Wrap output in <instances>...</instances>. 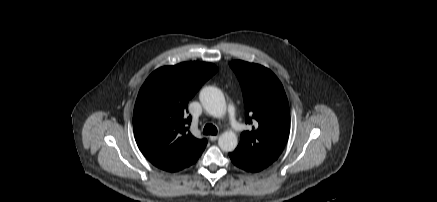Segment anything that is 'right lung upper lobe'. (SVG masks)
I'll list each match as a JSON object with an SVG mask.
<instances>
[{"mask_svg":"<svg viewBox=\"0 0 437 202\" xmlns=\"http://www.w3.org/2000/svg\"><path fill=\"white\" fill-rule=\"evenodd\" d=\"M217 70L211 63L183 62L158 68L142 85L133 112L134 136L156 167L180 171L202 154L207 140L189 132L188 102Z\"/></svg>","mask_w":437,"mask_h":202,"instance_id":"obj_1","label":"right lung upper lobe"}]
</instances>
